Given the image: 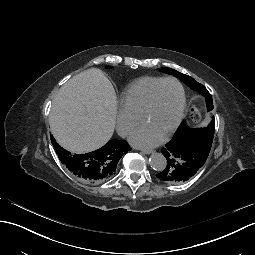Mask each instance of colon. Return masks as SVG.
<instances>
[{
  "label": "colon",
  "instance_id": "colon-1",
  "mask_svg": "<svg viewBox=\"0 0 255 255\" xmlns=\"http://www.w3.org/2000/svg\"><path fill=\"white\" fill-rule=\"evenodd\" d=\"M190 113L194 120L198 121L201 119V112L197 106L193 105L191 107Z\"/></svg>",
  "mask_w": 255,
  "mask_h": 255
}]
</instances>
